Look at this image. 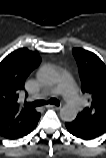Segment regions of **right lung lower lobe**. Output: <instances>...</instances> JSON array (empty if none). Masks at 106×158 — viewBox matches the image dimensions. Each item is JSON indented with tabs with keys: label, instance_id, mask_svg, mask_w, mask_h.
Instances as JSON below:
<instances>
[{
	"label": "right lung lower lobe",
	"instance_id": "right-lung-lower-lobe-1",
	"mask_svg": "<svg viewBox=\"0 0 106 158\" xmlns=\"http://www.w3.org/2000/svg\"><path fill=\"white\" fill-rule=\"evenodd\" d=\"M36 125H37V124H36ZM34 128H35V126H34ZM34 128H32L28 133H30ZM28 133H27V134H28ZM27 134H25V135H27Z\"/></svg>",
	"mask_w": 106,
	"mask_h": 158
}]
</instances>
